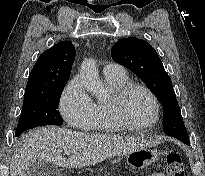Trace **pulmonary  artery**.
<instances>
[{
    "label": "pulmonary artery",
    "mask_w": 205,
    "mask_h": 176,
    "mask_svg": "<svg viewBox=\"0 0 205 176\" xmlns=\"http://www.w3.org/2000/svg\"><path fill=\"white\" fill-rule=\"evenodd\" d=\"M104 76H124L125 69L118 63H109L103 68Z\"/></svg>",
    "instance_id": "pulmonary-artery-1"
}]
</instances>
